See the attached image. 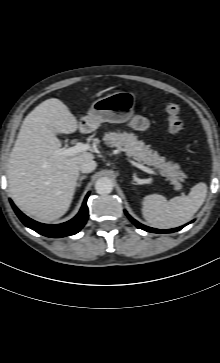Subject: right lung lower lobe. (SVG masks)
<instances>
[{
    "label": "right lung lower lobe",
    "instance_id": "98d812e1",
    "mask_svg": "<svg viewBox=\"0 0 220 363\" xmlns=\"http://www.w3.org/2000/svg\"><path fill=\"white\" fill-rule=\"evenodd\" d=\"M89 193L86 195L83 205L79 211V213L70 221L62 223V224H56V225H49V224H42L39 222H36L27 216H25L10 200V203L16 212L19 219L23 222V224L37 233L52 237V238H60L65 237L69 235H74L78 233L82 227L85 225L87 219H88V207H87V199H88Z\"/></svg>",
    "mask_w": 220,
    "mask_h": 363
}]
</instances>
